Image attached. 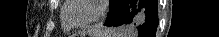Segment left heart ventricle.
Wrapping results in <instances>:
<instances>
[{"instance_id": "b2bd125f", "label": "left heart ventricle", "mask_w": 219, "mask_h": 37, "mask_svg": "<svg viewBox=\"0 0 219 37\" xmlns=\"http://www.w3.org/2000/svg\"><path fill=\"white\" fill-rule=\"evenodd\" d=\"M97 10L98 5L95 0H73L66 16L71 22L82 23L92 18Z\"/></svg>"}]
</instances>
